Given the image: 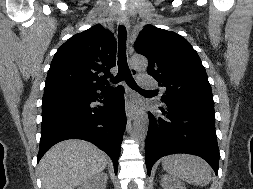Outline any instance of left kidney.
Segmentation results:
<instances>
[{
  "instance_id": "obj_1",
  "label": "left kidney",
  "mask_w": 253,
  "mask_h": 189,
  "mask_svg": "<svg viewBox=\"0 0 253 189\" xmlns=\"http://www.w3.org/2000/svg\"><path fill=\"white\" fill-rule=\"evenodd\" d=\"M163 189H186L185 185L169 176H162L161 178Z\"/></svg>"
}]
</instances>
